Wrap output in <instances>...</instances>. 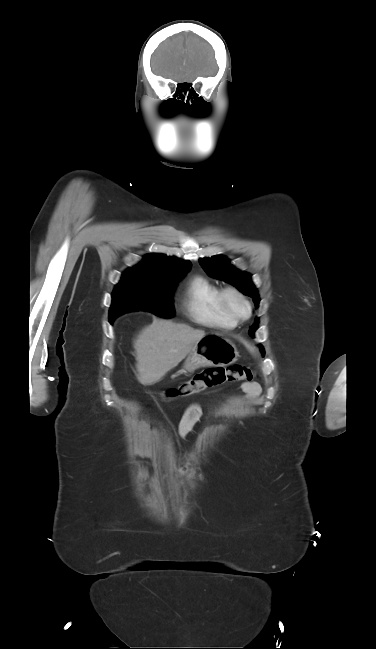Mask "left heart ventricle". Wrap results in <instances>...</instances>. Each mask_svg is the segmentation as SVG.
<instances>
[{
  "label": "left heart ventricle",
  "mask_w": 376,
  "mask_h": 649,
  "mask_svg": "<svg viewBox=\"0 0 376 649\" xmlns=\"http://www.w3.org/2000/svg\"><path fill=\"white\" fill-rule=\"evenodd\" d=\"M231 305L238 312H241L244 309L243 304L239 300L234 299V298L231 299Z\"/></svg>",
  "instance_id": "obj_1"
}]
</instances>
